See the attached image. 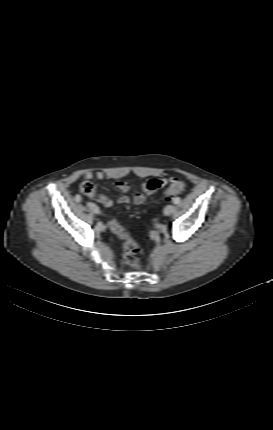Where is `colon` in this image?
Returning <instances> with one entry per match:
<instances>
[{
	"label": "colon",
	"mask_w": 273,
	"mask_h": 430,
	"mask_svg": "<svg viewBox=\"0 0 273 430\" xmlns=\"http://www.w3.org/2000/svg\"><path fill=\"white\" fill-rule=\"evenodd\" d=\"M184 189V183L180 180H173L171 185L165 190V198L172 200ZM80 190L85 195H92L95 192V185L88 180H85L80 185ZM110 229L124 240L123 244V259L125 263L131 267L139 268L140 262L138 257L139 247L137 243L131 238L127 229H125L119 222L112 219L109 223Z\"/></svg>",
	"instance_id": "colon-1"
}]
</instances>
